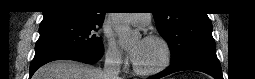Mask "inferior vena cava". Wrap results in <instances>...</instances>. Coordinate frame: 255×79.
I'll return each instance as SVG.
<instances>
[{
    "label": "inferior vena cava",
    "instance_id": "602c4592",
    "mask_svg": "<svg viewBox=\"0 0 255 79\" xmlns=\"http://www.w3.org/2000/svg\"><path fill=\"white\" fill-rule=\"evenodd\" d=\"M121 68L120 56L115 52L107 53L103 68L105 79H118Z\"/></svg>",
    "mask_w": 255,
    "mask_h": 79
}]
</instances>
